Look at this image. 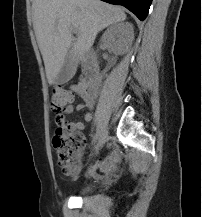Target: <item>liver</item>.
Here are the masks:
<instances>
[{"mask_svg": "<svg viewBox=\"0 0 202 217\" xmlns=\"http://www.w3.org/2000/svg\"><path fill=\"white\" fill-rule=\"evenodd\" d=\"M32 8L33 28L50 85L69 54L79 63L99 31L126 19L123 9L101 0H34ZM72 27L78 31L77 39L71 34Z\"/></svg>", "mask_w": 202, "mask_h": 217, "instance_id": "obj_1", "label": "liver"}]
</instances>
